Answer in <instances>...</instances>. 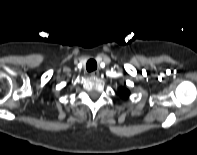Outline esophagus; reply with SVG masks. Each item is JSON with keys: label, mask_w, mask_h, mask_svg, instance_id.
I'll return each instance as SVG.
<instances>
[{"label": "esophagus", "mask_w": 197, "mask_h": 155, "mask_svg": "<svg viewBox=\"0 0 197 155\" xmlns=\"http://www.w3.org/2000/svg\"><path fill=\"white\" fill-rule=\"evenodd\" d=\"M90 76H91V77H94V78H97V77L99 76V71H98V70L92 71V72L90 73Z\"/></svg>", "instance_id": "esophagus-1"}]
</instances>
